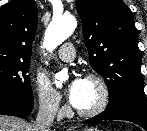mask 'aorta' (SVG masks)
Here are the masks:
<instances>
[{"label":"aorta","instance_id":"obj_1","mask_svg":"<svg viewBox=\"0 0 147 131\" xmlns=\"http://www.w3.org/2000/svg\"><path fill=\"white\" fill-rule=\"evenodd\" d=\"M76 25L77 21L72 15L53 18L46 30L43 46L49 51L54 50L73 33ZM67 79L68 73L60 71L54 75V84L57 88H61Z\"/></svg>","mask_w":147,"mask_h":131}]
</instances>
